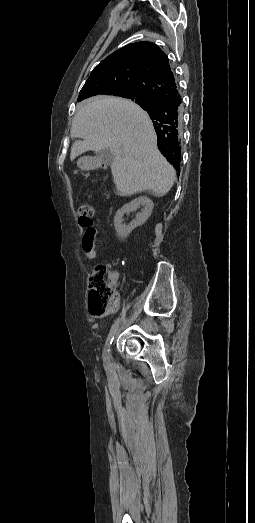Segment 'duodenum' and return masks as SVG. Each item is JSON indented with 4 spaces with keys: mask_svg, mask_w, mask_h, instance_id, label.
I'll use <instances>...</instances> for the list:
<instances>
[{
    "mask_svg": "<svg viewBox=\"0 0 255 523\" xmlns=\"http://www.w3.org/2000/svg\"><path fill=\"white\" fill-rule=\"evenodd\" d=\"M102 166V162L95 157H88L83 160V167L86 170H95Z\"/></svg>",
    "mask_w": 255,
    "mask_h": 523,
    "instance_id": "obj_1",
    "label": "duodenum"
}]
</instances>
